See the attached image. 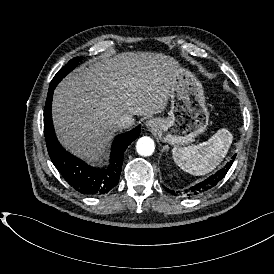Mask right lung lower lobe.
<instances>
[{
  "label": "right lung lower lobe",
  "instance_id": "right-lung-lower-lobe-1",
  "mask_svg": "<svg viewBox=\"0 0 274 274\" xmlns=\"http://www.w3.org/2000/svg\"><path fill=\"white\" fill-rule=\"evenodd\" d=\"M56 86H49L44 108V135L51 161L76 191L89 196L106 194L119 182L123 153L127 146L139 137L140 125L115 138L110 164L106 169L91 167L65 151L56 138L51 115L53 91Z\"/></svg>",
  "mask_w": 274,
  "mask_h": 274
}]
</instances>
